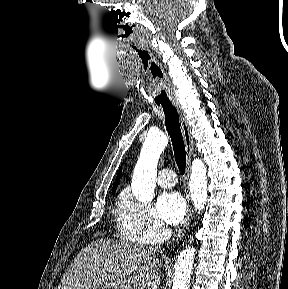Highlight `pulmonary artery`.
<instances>
[{"label":"pulmonary artery","instance_id":"1","mask_svg":"<svg viewBox=\"0 0 288 289\" xmlns=\"http://www.w3.org/2000/svg\"><path fill=\"white\" fill-rule=\"evenodd\" d=\"M157 181L161 187L171 188L176 184V174L171 169H162Z\"/></svg>","mask_w":288,"mask_h":289}]
</instances>
